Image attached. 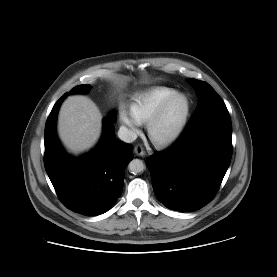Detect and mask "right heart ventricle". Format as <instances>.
<instances>
[{
	"label": "right heart ventricle",
	"mask_w": 277,
	"mask_h": 277,
	"mask_svg": "<svg viewBox=\"0 0 277 277\" xmlns=\"http://www.w3.org/2000/svg\"><path fill=\"white\" fill-rule=\"evenodd\" d=\"M175 92L174 88L156 86L135 95L130 104L131 116L139 124L147 123L160 104Z\"/></svg>",
	"instance_id": "obj_1"
}]
</instances>
